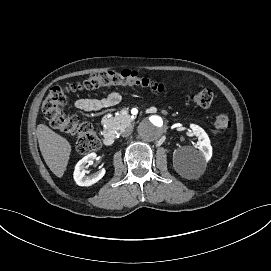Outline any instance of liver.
<instances>
[{
  "instance_id": "6515ba94",
  "label": "liver",
  "mask_w": 271,
  "mask_h": 271,
  "mask_svg": "<svg viewBox=\"0 0 271 271\" xmlns=\"http://www.w3.org/2000/svg\"><path fill=\"white\" fill-rule=\"evenodd\" d=\"M36 135L46 164L57 177H61L69 159V143L43 125L37 126Z\"/></svg>"
}]
</instances>
